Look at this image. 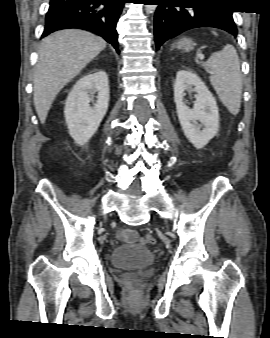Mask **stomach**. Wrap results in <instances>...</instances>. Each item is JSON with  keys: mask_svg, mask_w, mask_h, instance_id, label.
Returning a JSON list of instances; mask_svg holds the SVG:
<instances>
[{"mask_svg": "<svg viewBox=\"0 0 270 338\" xmlns=\"http://www.w3.org/2000/svg\"><path fill=\"white\" fill-rule=\"evenodd\" d=\"M173 47L185 51H190L194 49L195 43L190 38H181L179 41H177Z\"/></svg>", "mask_w": 270, "mask_h": 338, "instance_id": "obj_1", "label": "stomach"}]
</instances>
